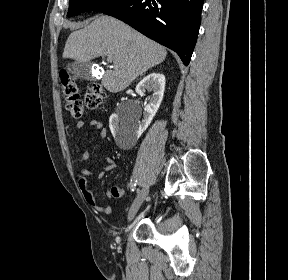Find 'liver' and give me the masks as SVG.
<instances>
[{
	"instance_id": "1",
	"label": "liver",
	"mask_w": 288,
	"mask_h": 280,
	"mask_svg": "<svg viewBox=\"0 0 288 280\" xmlns=\"http://www.w3.org/2000/svg\"><path fill=\"white\" fill-rule=\"evenodd\" d=\"M166 55L164 47L107 15L96 16L89 25L73 31L63 51L64 59L77 62L111 57L114 68L104 73L102 85L112 93L126 89L138 76L162 63Z\"/></svg>"
}]
</instances>
